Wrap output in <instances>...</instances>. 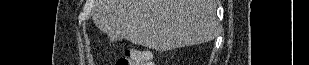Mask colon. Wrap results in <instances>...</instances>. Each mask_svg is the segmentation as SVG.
Wrapping results in <instances>:
<instances>
[{
  "mask_svg": "<svg viewBox=\"0 0 309 65\" xmlns=\"http://www.w3.org/2000/svg\"><path fill=\"white\" fill-rule=\"evenodd\" d=\"M151 57L149 51H138L131 48H124L123 55L118 60V65H149L144 63L145 60Z\"/></svg>",
  "mask_w": 309,
  "mask_h": 65,
  "instance_id": "colon-1",
  "label": "colon"
}]
</instances>
